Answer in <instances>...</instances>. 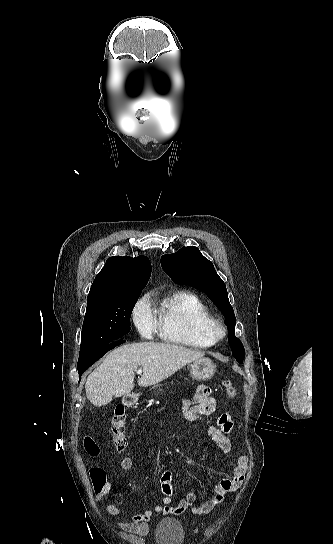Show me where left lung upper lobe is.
I'll list each match as a JSON object with an SVG mask.
<instances>
[{
	"mask_svg": "<svg viewBox=\"0 0 333 544\" xmlns=\"http://www.w3.org/2000/svg\"><path fill=\"white\" fill-rule=\"evenodd\" d=\"M161 265L175 281L202 290L224 313L232 354L239 363H242L245 350L234 334L236 324L234 311L229 303L226 286L216 273L213 264L200 253L198 248L189 246L183 247L174 254L162 256Z\"/></svg>",
	"mask_w": 333,
	"mask_h": 544,
	"instance_id": "obj_1",
	"label": "left lung upper lobe"
}]
</instances>
